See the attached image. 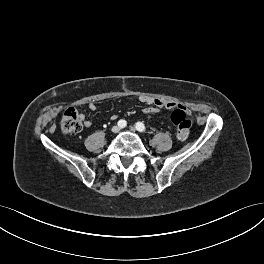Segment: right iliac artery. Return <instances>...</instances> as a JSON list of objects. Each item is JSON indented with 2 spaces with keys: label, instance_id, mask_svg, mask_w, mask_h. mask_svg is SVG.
I'll return each mask as SVG.
<instances>
[{
  "label": "right iliac artery",
  "instance_id": "right-iliac-artery-1",
  "mask_svg": "<svg viewBox=\"0 0 264 264\" xmlns=\"http://www.w3.org/2000/svg\"><path fill=\"white\" fill-rule=\"evenodd\" d=\"M117 124H118V126H119L120 128H124V127H126L127 122H126L125 120L121 119V120L118 121Z\"/></svg>",
  "mask_w": 264,
  "mask_h": 264
}]
</instances>
